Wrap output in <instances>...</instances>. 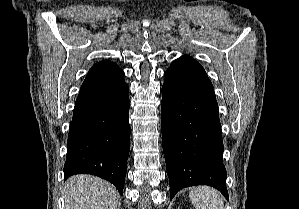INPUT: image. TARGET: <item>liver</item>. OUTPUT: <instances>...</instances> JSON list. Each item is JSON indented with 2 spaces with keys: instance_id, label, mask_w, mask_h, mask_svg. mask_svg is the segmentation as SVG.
<instances>
[{
  "instance_id": "obj_1",
  "label": "liver",
  "mask_w": 299,
  "mask_h": 209,
  "mask_svg": "<svg viewBox=\"0 0 299 209\" xmlns=\"http://www.w3.org/2000/svg\"><path fill=\"white\" fill-rule=\"evenodd\" d=\"M65 209H117L119 193L109 182L90 175L70 177L64 188Z\"/></svg>"
}]
</instances>
